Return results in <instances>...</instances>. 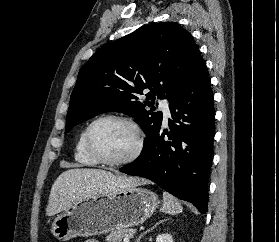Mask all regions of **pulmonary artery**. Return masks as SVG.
<instances>
[{
    "label": "pulmonary artery",
    "mask_w": 279,
    "mask_h": 242,
    "mask_svg": "<svg viewBox=\"0 0 279 242\" xmlns=\"http://www.w3.org/2000/svg\"><path fill=\"white\" fill-rule=\"evenodd\" d=\"M159 109L163 113L164 119L167 120L171 118V111L169 107V102L166 99H163L159 102Z\"/></svg>",
    "instance_id": "obj_1"
}]
</instances>
